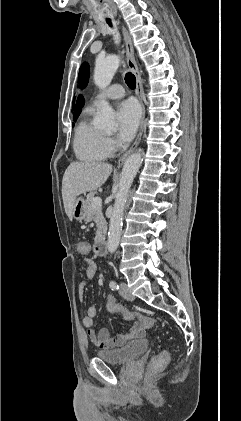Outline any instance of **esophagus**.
Returning <instances> with one entry per match:
<instances>
[{
	"label": "esophagus",
	"instance_id": "34e87169",
	"mask_svg": "<svg viewBox=\"0 0 241 421\" xmlns=\"http://www.w3.org/2000/svg\"><path fill=\"white\" fill-rule=\"evenodd\" d=\"M122 32H123L125 46H126L127 65L136 77V83H137L136 93H137V96H138V99H139V102H140V105H141V122H140V128H139L138 135H137L133 145L119 159L118 167H121L124 164L127 157L138 146V144L141 140L142 133H143L144 119H145V106H144V102H143V93H142V79H141V75L139 73V70H138V67H137V64H136V61H135L134 48H133V45H132V40H131V37H130L127 29L124 26L122 27Z\"/></svg>",
	"mask_w": 241,
	"mask_h": 421
}]
</instances>
